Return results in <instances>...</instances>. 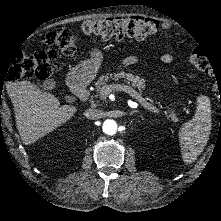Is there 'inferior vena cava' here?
Segmentation results:
<instances>
[{
  "mask_svg": "<svg viewBox=\"0 0 221 221\" xmlns=\"http://www.w3.org/2000/svg\"><path fill=\"white\" fill-rule=\"evenodd\" d=\"M85 116L90 120H98L104 116V112L98 108L87 109Z\"/></svg>",
  "mask_w": 221,
  "mask_h": 221,
  "instance_id": "inferior-vena-cava-1",
  "label": "inferior vena cava"
}]
</instances>
